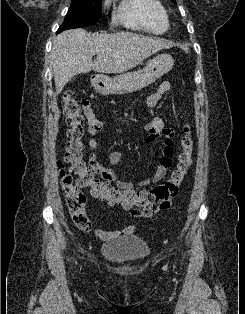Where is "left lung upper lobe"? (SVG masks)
Masks as SVG:
<instances>
[{
  "instance_id": "1",
  "label": "left lung upper lobe",
  "mask_w": 245,
  "mask_h": 314,
  "mask_svg": "<svg viewBox=\"0 0 245 314\" xmlns=\"http://www.w3.org/2000/svg\"><path fill=\"white\" fill-rule=\"evenodd\" d=\"M173 3H176V0H171Z\"/></svg>"
}]
</instances>
